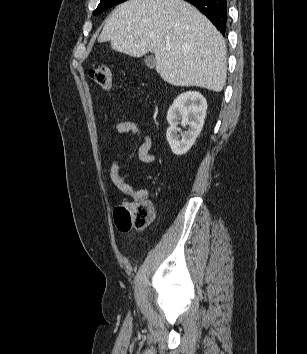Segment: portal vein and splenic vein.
I'll use <instances>...</instances> for the list:
<instances>
[{"mask_svg": "<svg viewBox=\"0 0 307 354\" xmlns=\"http://www.w3.org/2000/svg\"><path fill=\"white\" fill-rule=\"evenodd\" d=\"M166 49H167V50H169V49H170V46H169V45H167V46H166Z\"/></svg>", "mask_w": 307, "mask_h": 354, "instance_id": "18ae733b", "label": "portal vein and splenic vein"}]
</instances>
